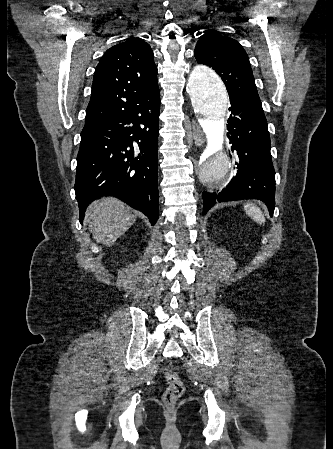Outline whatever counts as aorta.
<instances>
[{
  "label": "aorta",
  "mask_w": 333,
  "mask_h": 449,
  "mask_svg": "<svg viewBox=\"0 0 333 449\" xmlns=\"http://www.w3.org/2000/svg\"><path fill=\"white\" fill-rule=\"evenodd\" d=\"M187 92L202 124H210L211 148L196 160L194 175L210 191L225 187L230 173L231 160L223 146L228 95L225 86L214 70L206 65H196L187 83Z\"/></svg>",
  "instance_id": "aorta-1"
}]
</instances>
